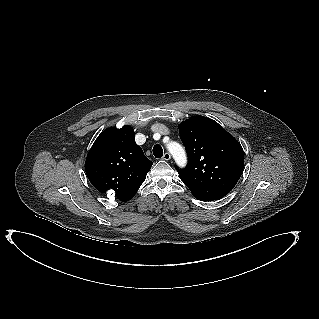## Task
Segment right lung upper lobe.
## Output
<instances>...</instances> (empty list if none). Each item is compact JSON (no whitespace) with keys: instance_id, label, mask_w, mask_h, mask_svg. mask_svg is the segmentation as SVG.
I'll list each match as a JSON object with an SVG mask.
<instances>
[{"instance_id":"right-lung-upper-lobe-1","label":"right lung upper lobe","mask_w":319,"mask_h":319,"mask_svg":"<svg viewBox=\"0 0 319 319\" xmlns=\"http://www.w3.org/2000/svg\"><path fill=\"white\" fill-rule=\"evenodd\" d=\"M151 166L152 162L135 143V133L129 126L103 131L85 162L91 184L102 193L113 190L122 202L134 197Z\"/></svg>"}]
</instances>
